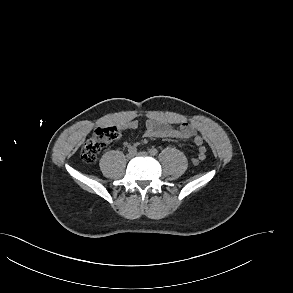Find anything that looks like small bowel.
<instances>
[{
    "instance_id": "c3829d8e",
    "label": "small bowel",
    "mask_w": 293,
    "mask_h": 293,
    "mask_svg": "<svg viewBox=\"0 0 293 293\" xmlns=\"http://www.w3.org/2000/svg\"><path fill=\"white\" fill-rule=\"evenodd\" d=\"M137 125L136 121L129 124L132 128H136ZM126 126L128 125H124V127ZM145 136L149 138L173 137L180 139H193L194 143L199 148V152L201 150L206 152V148L203 146L202 136L197 133L192 124L187 122L174 125L164 117L150 114L145 122Z\"/></svg>"
}]
</instances>
